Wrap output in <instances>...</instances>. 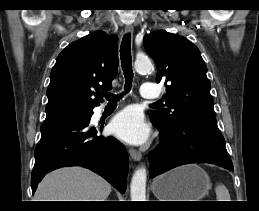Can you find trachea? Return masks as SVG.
Here are the masks:
<instances>
[{"mask_svg":"<svg viewBox=\"0 0 259 211\" xmlns=\"http://www.w3.org/2000/svg\"><path fill=\"white\" fill-rule=\"evenodd\" d=\"M120 58L123 74L125 76V90L128 92L132 87L133 80L131 35L129 33L126 34L122 39L120 46ZM102 96H104L109 102H116L119 99L118 96L109 92H102Z\"/></svg>","mask_w":259,"mask_h":211,"instance_id":"obj_1","label":"trachea"}]
</instances>
